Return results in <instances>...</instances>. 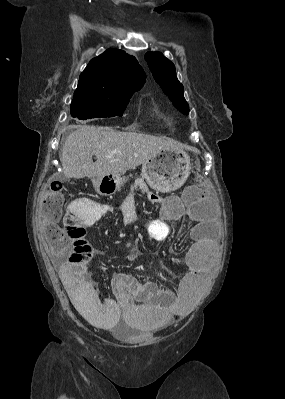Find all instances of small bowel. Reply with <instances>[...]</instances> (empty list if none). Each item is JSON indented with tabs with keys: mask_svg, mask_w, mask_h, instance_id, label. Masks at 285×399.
<instances>
[{
	"mask_svg": "<svg viewBox=\"0 0 285 399\" xmlns=\"http://www.w3.org/2000/svg\"><path fill=\"white\" fill-rule=\"evenodd\" d=\"M143 190L140 183L133 189ZM133 189L121 204V213L129 225L137 222ZM151 203L161 206L164 214L147 224L153 240H167L171 236L166 216L193 218L194 208L174 197L161 199L147 194ZM110 207L87 198H76L69 203L64 217L68 236L66 248L72 250L59 267L63 287L74 308L88 321L102 329H113L120 322H128L145 331H154L174 320L187 317L194 309L208 276L205 260L203 231L196 230L184 254V271L177 276V290L162 289L153 282H139L125 273L113 278L111 295L101 299L88 277L91 260L86 243V228L95 226Z\"/></svg>",
	"mask_w": 285,
	"mask_h": 399,
	"instance_id": "1",
	"label": "small bowel"
}]
</instances>
